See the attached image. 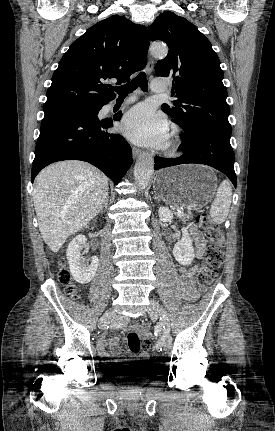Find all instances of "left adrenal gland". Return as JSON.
<instances>
[{"label": "left adrenal gland", "instance_id": "left-adrenal-gland-1", "mask_svg": "<svg viewBox=\"0 0 275 431\" xmlns=\"http://www.w3.org/2000/svg\"><path fill=\"white\" fill-rule=\"evenodd\" d=\"M154 200H160L158 196L153 197Z\"/></svg>", "mask_w": 275, "mask_h": 431}]
</instances>
